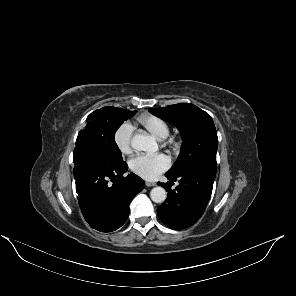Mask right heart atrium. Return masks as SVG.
Here are the masks:
<instances>
[{
  "label": "right heart atrium",
  "instance_id": "1",
  "mask_svg": "<svg viewBox=\"0 0 296 296\" xmlns=\"http://www.w3.org/2000/svg\"><path fill=\"white\" fill-rule=\"evenodd\" d=\"M114 143L122 154H130L133 151V128L128 123L121 124L114 133Z\"/></svg>",
  "mask_w": 296,
  "mask_h": 296
}]
</instances>
